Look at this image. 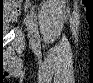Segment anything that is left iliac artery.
Segmentation results:
<instances>
[{
  "mask_svg": "<svg viewBox=\"0 0 93 83\" xmlns=\"http://www.w3.org/2000/svg\"><path fill=\"white\" fill-rule=\"evenodd\" d=\"M31 18H32V21H33V25H34V32H35V40H36V44H40L41 42V38H40V35L38 33V29H37V17H36V14L33 10H31Z\"/></svg>",
  "mask_w": 93,
  "mask_h": 83,
  "instance_id": "1",
  "label": "left iliac artery"
}]
</instances>
